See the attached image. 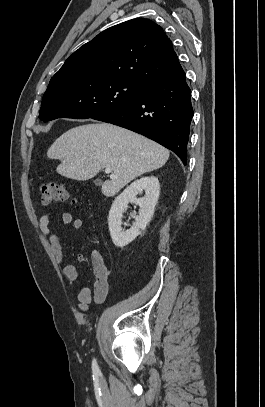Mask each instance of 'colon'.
Returning a JSON list of instances; mask_svg holds the SVG:
<instances>
[{"mask_svg": "<svg viewBox=\"0 0 265 407\" xmlns=\"http://www.w3.org/2000/svg\"><path fill=\"white\" fill-rule=\"evenodd\" d=\"M41 202L43 205H49L58 201L75 202V197L69 189L57 183H46L40 188Z\"/></svg>", "mask_w": 265, "mask_h": 407, "instance_id": "obj_1", "label": "colon"}]
</instances>
